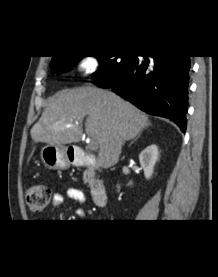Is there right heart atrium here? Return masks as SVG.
<instances>
[{
    "label": "right heart atrium",
    "mask_w": 218,
    "mask_h": 277,
    "mask_svg": "<svg viewBox=\"0 0 218 277\" xmlns=\"http://www.w3.org/2000/svg\"><path fill=\"white\" fill-rule=\"evenodd\" d=\"M97 67V62L92 57H84L78 62V70L83 75L89 76L91 75Z\"/></svg>",
    "instance_id": "d8ad5b80"
}]
</instances>
